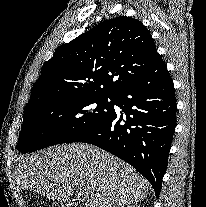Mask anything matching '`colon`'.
<instances>
[{"mask_svg":"<svg viewBox=\"0 0 206 207\" xmlns=\"http://www.w3.org/2000/svg\"><path fill=\"white\" fill-rule=\"evenodd\" d=\"M51 207H79V206L74 204H54Z\"/></svg>","mask_w":206,"mask_h":207,"instance_id":"1","label":"colon"}]
</instances>
